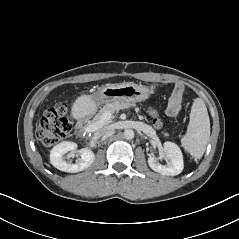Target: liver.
Here are the masks:
<instances>
[{
    "label": "liver",
    "instance_id": "liver-1",
    "mask_svg": "<svg viewBox=\"0 0 239 239\" xmlns=\"http://www.w3.org/2000/svg\"><path fill=\"white\" fill-rule=\"evenodd\" d=\"M99 106L100 104L95 101L93 95L82 94L72 104L71 115L77 120L92 116L97 112Z\"/></svg>",
    "mask_w": 239,
    "mask_h": 239
}]
</instances>
